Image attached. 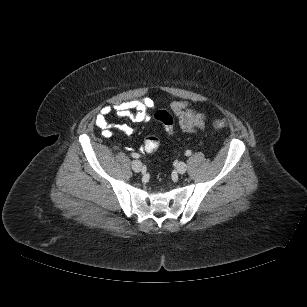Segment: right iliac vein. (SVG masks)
<instances>
[{
  "instance_id": "obj_1",
  "label": "right iliac vein",
  "mask_w": 307,
  "mask_h": 307,
  "mask_svg": "<svg viewBox=\"0 0 307 307\" xmlns=\"http://www.w3.org/2000/svg\"><path fill=\"white\" fill-rule=\"evenodd\" d=\"M133 171L140 172L142 170V163L139 160H134L131 164Z\"/></svg>"
}]
</instances>
